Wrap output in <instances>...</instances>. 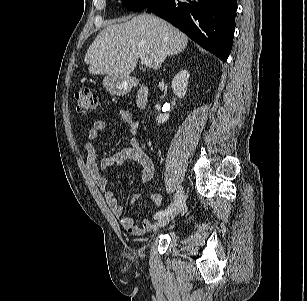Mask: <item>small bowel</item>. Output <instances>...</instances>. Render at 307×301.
<instances>
[{"instance_id":"small-bowel-1","label":"small bowel","mask_w":307,"mask_h":301,"mask_svg":"<svg viewBox=\"0 0 307 301\" xmlns=\"http://www.w3.org/2000/svg\"><path fill=\"white\" fill-rule=\"evenodd\" d=\"M118 115L132 134L129 146L111 156L102 158L98 162V154L94 142L98 139L100 133L106 130L107 124L104 120H96L88 131V139L84 144L86 168L95 184L103 192L111 212L119 219L123 229L133 236H141L151 230L154 227V223L148 218H143L141 224H137L133 215H124L123 206L119 203L114 192L107 188V180L101 175V171L120 167L128 160L136 161L142 167L141 180L143 183L149 182L154 174V163L136 138L140 128V121L134 117L132 112L126 109H120ZM139 198L140 195L138 193L133 194L130 201L131 206H134ZM149 198L157 206L162 205L164 202V198L160 194H151Z\"/></svg>"}]
</instances>
